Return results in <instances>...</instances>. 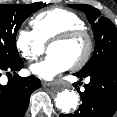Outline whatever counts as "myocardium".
Instances as JSON below:
<instances>
[{"label":"myocardium","mask_w":117,"mask_h":117,"mask_svg":"<svg viewBox=\"0 0 117 117\" xmlns=\"http://www.w3.org/2000/svg\"><path fill=\"white\" fill-rule=\"evenodd\" d=\"M77 40H83L85 42V51L82 57L71 65L74 70H79L83 68L91 59L94 50V40L92 35L84 29H72L60 33L53 37L49 41L48 48L53 44H66Z\"/></svg>","instance_id":"f54148a6"}]
</instances>
